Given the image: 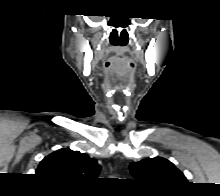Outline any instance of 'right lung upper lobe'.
<instances>
[{"instance_id":"right-lung-upper-lobe-1","label":"right lung upper lobe","mask_w":220,"mask_h":196,"mask_svg":"<svg viewBox=\"0 0 220 196\" xmlns=\"http://www.w3.org/2000/svg\"><path fill=\"white\" fill-rule=\"evenodd\" d=\"M100 169L95 159L79 151L64 148L45 157L36 174L53 182L85 185L97 178Z\"/></svg>"}]
</instances>
